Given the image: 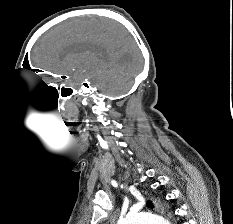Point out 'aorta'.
<instances>
[{
  "label": "aorta",
  "mask_w": 233,
  "mask_h": 224,
  "mask_svg": "<svg viewBox=\"0 0 233 224\" xmlns=\"http://www.w3.org/2000/svg\"><path fill=\"white\" fill-rule=\"evenodd\" d=\"M117 224H170L165 218L152 213L129 214L120 218Z\"/></svg>",
  "instance_id": "1"
}]
</instances>
